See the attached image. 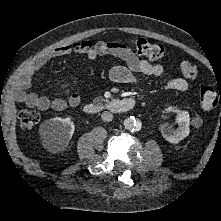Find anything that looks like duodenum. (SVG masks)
Returning a JSON list of instances; mask_svg holds the SVG:
<instances>
[{"instance_id": "obj_1", "label": "duodenum", "mask_w": 221, "mask_h": 221, "mask_svg": "<svg viewBox=\"0 0 221 221\" xmlns=\"http://www.w3.org/2000/svg\"><path fill=\"white\" fill-rule=\"evenodd\" d=\"M135 105L136 100L134 98L110 99L99 103H88L83 110L87 114H97L102 111L121 113L132 109Z\"/></svg>"}]
</instances>
